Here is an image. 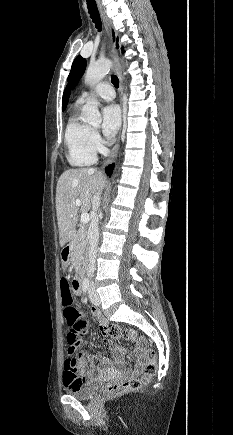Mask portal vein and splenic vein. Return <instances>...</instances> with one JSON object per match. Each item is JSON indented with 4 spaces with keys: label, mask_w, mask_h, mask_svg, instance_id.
I'll return each mask as SVG.
<instances>
[{
    "label": "portal vein and splenic vein",
    "mask_w": 233,
    "mask_h": 435,
    "mask_svg": "<svg viewBox=\"0 0 233 435\" xmlns=\"http://www.w3.org/2000/svg\"><path fill=\"white\" fill-rule=\"evenodd\" d=\"M75 203L77 206H81V201L79 199H77ZM89 220H90L89 214L87 212H83L81 214V222L85 224V223H88Z\"/></svg>",
    "instance_id": "1"
}]
</instances>
